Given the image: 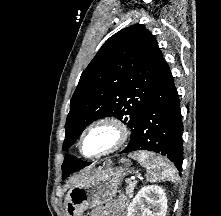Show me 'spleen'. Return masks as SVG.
<instances>
[{"instance_id":"spleen-1","label":"spleen","mask_w":221,"mask_h":216,"mask_svg":"<svg viewBox=\"0 0 221 216\" xmlns=\"http://www.w3.org/2000/svg\"><path fill=\"white\" fill-rule=\"evenodd\" d=\"M131 157L146 168L147 181L151 183L165 180L174 183L177 181L175 168L164 158L146 151H139L138 153L132 154Z\"/></svg>"}]
</instances>
